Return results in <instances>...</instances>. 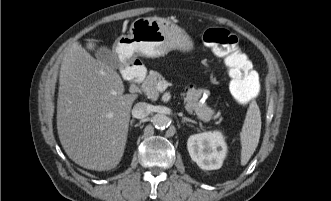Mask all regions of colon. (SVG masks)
Masks as SVG:
<instances>
[{
  "instance_id": "obj_1",
  "label": "colon",
  "mask_w": 331,
  "mask_h": 201,
  "mask_svg": "<svg viewBox=\"0 0 331 201\" xmlns=\"http://www.w3.org/2000/svg\"><path fill=\"white\" fill-rule=\"evenodd\" d=\"M203 40L216 55L223 58L235 100L242 105L252 103L259 94L260 83L248 57L239 48L236 36L226 29L213 27L204 32Z\"/></svg>"
}]
</instances>
